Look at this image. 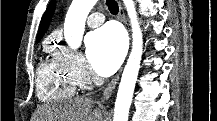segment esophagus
<instances>
[{
    "mask_svg": "<svg viewBox=\"0 0 217 121\" xmlns=\"http://www.w3.org/2000/svg\"><path fill=\"white\" fill-rule=\"evenodd\" d=\"M118 6H119V17L121 21L123 22L125 28L129 31L128 22H127V19H126V16H125V13H124V10H123V7L120 1H118ZM120 75H121V70L112 78L110 83L105 88L103 95H102V101L107 100L111 96V94L114 92L117 86V83L119 81Z\"/></svg>",
    "mask_w": 217,
    "mask_h": 121,
    "instance_id": "esophagus-1",
    "label": "esophagus"
}]
</instances>
